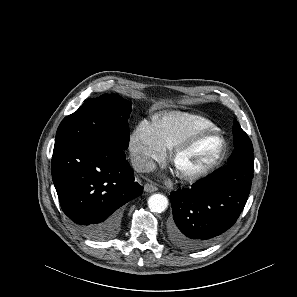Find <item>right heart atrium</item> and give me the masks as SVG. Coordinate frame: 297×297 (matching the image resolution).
I'll list each match as a JSON object with an SVG mask.
<instances>
[{
  "instance_id": "right-heart-atrium-1",
  "label": "right heart atrium",
  "mask_w": 297,
  "mask_h": 297,
  "mask_svg": "<svg viewBox=\"0 0 297 297\" xmlns=\"http://www.w3.org/2000/svg\"><path fill=\"white\" fill-rule=\"evenodd\" d=\"M129 153L133 167L140 172L149 171L166 155V149L157 138L153 124L141 121L129 139Z\"/></svg>"
}]
</instances>
